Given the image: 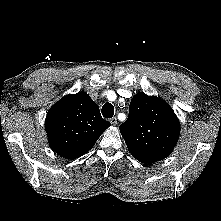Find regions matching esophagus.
<instances>
[{
	"mask_svg": "<svg viewBox=\"0 0 221 221\" xmlns=\"http://www.w3.org/2000/svg\"><path fill=\"white\" fill-rule=\"evenodd\" d=\"M117 118L116 117H113V118H111L110 119V123L112 124V125H116L117 124Z\"/></svg>",
	"mask_w": 221,
	"mask_h": 221,
	"instance_id": "esophagus-1",
	"label": "esophagus"
}]
</instances>
